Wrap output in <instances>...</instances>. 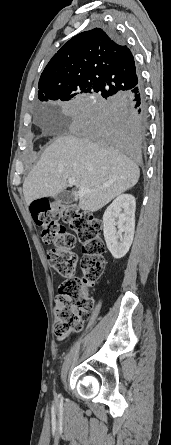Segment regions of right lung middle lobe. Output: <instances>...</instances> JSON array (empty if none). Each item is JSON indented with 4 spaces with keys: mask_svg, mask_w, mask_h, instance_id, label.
<instances>
[{
    "mask_svg": "<svg viewBox=\"0 0 171 445\" xmlns=\"http://www.w3.org/2000/svg\"><path fill=\"white\" fill-rule=\"evenodd\" d=\"M86 94H87L88 108H90L91 105H92L94 102L103 99V94H101V93H93V92H92V93H86ZM74 96H76V95H74ZM74 96H71V97H68V98H66V99H63V101H65V100H70V99H72Z\"/></svg>",
    "mask_w": 171,
    "mask_h": 445,
    "instance_id": "dd1d6c3e",
    "label": "right lung middle lobe"
}]
</instances>
